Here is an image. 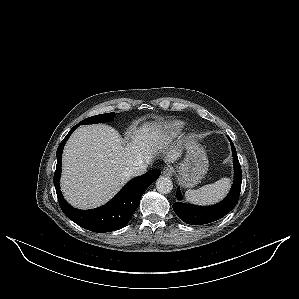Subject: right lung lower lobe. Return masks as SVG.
Instances as JSON below:
<instances>
[{
  "label": "right lung lower lobe",
  "mask_w": 299,
  "mask_h": 299,
  "mask_svg": "<svg viewBox=\"0 0 299 299\" xmlns=\"http://www.w3.org/2000/svg\"><path fill=\"white\" fill-rule=\"evenodd\" d=\"M78 126L77 124L70 130L60 143L56 153L57 165L53 182L60 208L69 219L87 230L104 233L121 229L127 225L139 206L143 193L160 176V171L151 170L142 176L132 179L111 201L102 207L92 210H78L73 208L62 196L59 179L64 144Z\"/></svg>",
  "instance_id": "obj_1"
}]
</instances>
